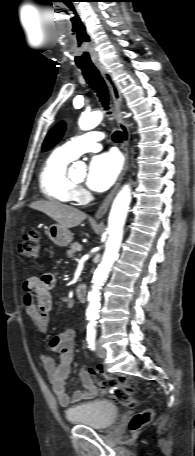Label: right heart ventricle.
<instances>
[{
    "instance_id": "1",
    "label": "right heart ventricle",
    "mask_w": 195,
    "mask_h": 456,
    "mask_svg": "<svg viewBox=\"0 0 195 456\" xmlns=\"http://www.w3.org/2000/svg\"><path fill=\"white\" fill-rule=\"evenodd\" d=\"M73 160L60 148L45 160L39 174V187L47 199L63 203L77 199L76 187L67 175V167Z\"/></svg>"
}]
</instances>
